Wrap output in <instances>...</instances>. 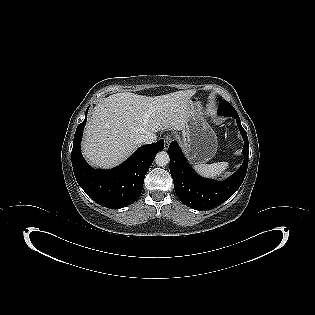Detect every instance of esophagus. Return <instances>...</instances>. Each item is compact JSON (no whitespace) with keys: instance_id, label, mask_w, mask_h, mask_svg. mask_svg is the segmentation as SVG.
Listing matches in <instances>:
<instances>
[{"instance_id":"1","label":"esophagus","mask_w":315,"mask_h":315,"mask_svg":"<svg viewBox=\"0 0 315 315\" xmlns=\"http://www.w3.org/2000/svg\"><path fill=\"white\" fill-rule=\"evenodd\" d=\"M171 141H172L171 135H165V137H164V142H165V149H166V150L168 149V147H169Z\"/></svg>"}]
</instances>
